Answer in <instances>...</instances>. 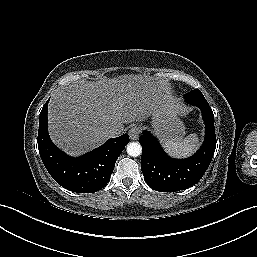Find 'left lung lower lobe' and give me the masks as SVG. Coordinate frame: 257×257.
Instances as JSON below:
<instances>
[{
  "label": "left lung lower lobe",
  "mask_w": 257,
  "mask_h": 257,
  "mask_svg": "<svg viewBox=\"0 0 257 257\" xmlns=\"http://www.w3.org/2000/svg\"><path fill=\"white\" fill-rule=\"evenodd\" d=\"M205 122V141L187 159L169 157L151 133L139 137L142 146L141 169L146 183L156 191L175 192L195 185L206 172L216 148L214 114L208 102H197Z\"/></svg>",
  "instance_id": "left-lung-lower-lobe-1"
}]
</instances>
